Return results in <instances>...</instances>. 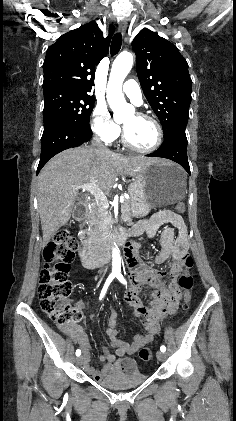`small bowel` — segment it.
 Returning <instances> with one entry per match:
<instances>
[{
  "instance_id": "1",
  "label": "small bowel",
  "mask_w": 236,
  "mask_h": 421,
  "mask_svg": "<svg viewBox=\"0 0 236 421\" xmlns=\"http://www.w3.org/2000/svg\"><path fill=\"white\" fill-rule=\"evenodd\" d=\"M164 224L169 225L166 227L163 233L164 249L168 250L169 243L173 239V236H174V230L177 229L179 233V237H178V242L173 252H175L177 259H180L183 255L186 254L187 249H188L187 241H186L187 229H186L184 220L180 215L169 210L160 211L154 214L151 218L138 222L132 228V231H134L136 235H139L145 232L149 237H154L158 229ZM137 292H138V286L135 285V287L126 296L127 302L133 308L140 306V302L137 297ZM76 306L77 308L82 309L84 307V303L82 301H78L76 303ZM109 325H110V328L113 330H115L117 326V316L114 311H112L109 316ZM154 328L156 331L157 326L155 325ZM64 331L70 336L78 335L81 338V341L79 343L85 349L88 348L87 336L81 326L73 325L68 328H65ZM152 338H153V334L147 337L143 342H149L152 340ZM86 361H88V359L85 356L84 363Z\"/></svg>"
}]
</instances>
